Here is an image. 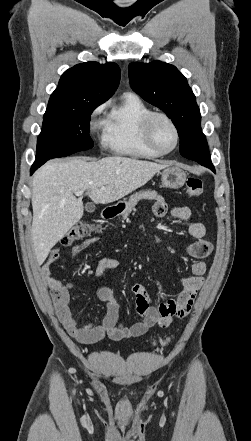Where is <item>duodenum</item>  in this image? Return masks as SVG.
<instances>
[{
  "label": "duodenum",
  "mask_w": 251,
  "mask_h": 441,
  "mask_svg": "<svg viewBox=\"0 0 251 441\" xmlns=\"http://www.w3.org/2000/svg\"><path fill=\"white\" fill-rule=\"evenodd\" d=\"M118 213H119V210L117 207H109L103 211L102 216L105 219H111V218L115 217Z\"/></svg>",
  "instance_id": "obj_1"
}]
</instances>
